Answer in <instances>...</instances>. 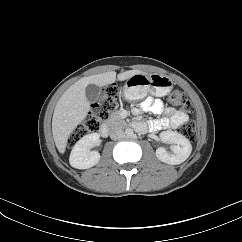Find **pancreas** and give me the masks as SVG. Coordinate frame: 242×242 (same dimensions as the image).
<instances>
[{"mask_svg":"<svg viewBox=\"0 0 242 242\" xmlns=\"http://www.w3.org/2000/svg\"><path fill=\"white\" fill-rule=\"evenodd\" d=\"M107 123L112 126V127H120V128H123L126 126V122L125 120H123L120 116V112L119 111H116L114 113H112L108 120H107Z\"/></svg>","mask_w":242,"mask_h":242,"instance_id":"pancreas-1","label":"pancreas"}]
</instances>
